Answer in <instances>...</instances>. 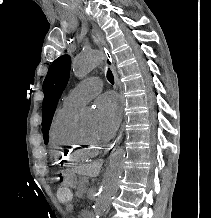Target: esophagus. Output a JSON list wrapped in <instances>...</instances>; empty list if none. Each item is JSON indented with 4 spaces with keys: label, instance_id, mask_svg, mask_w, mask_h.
<instances>
[{
    "label": "esophagus",
    "instance_id": "34e87169",
    "mask_svg": "<svg viewBox=\"0 0 211 218\" xmlns=\"http://www.w3.org/2000/svg\"><path fill=\"white\" fill-rule=\"evenodd\" d=\"M91 36L93 38V40L96 42V44L99 46V48L103 49L104 52H105V55H106V59H105V62H106V65L111 69L112 73H113V76H114V80H115V84L116 86L118 87L119 89V94H120V123H118V131L120 132H115V136H112L111 137V144H118L121 137H122V132L123 131V123H127V118H122L123 117V107H124V104H125V101H124V97H123V94H122V87L119 83V78H118V74H117V71H116V68H115V65L113 63V59H112V56L109 52V47H108V44L106 43V41L104 40V37L101 33V31L95 27L94 25L92 26V29H91ZM114 150H116V145H108L107 146V153L106 155H104V160H111V155H109V153H114Z\"/></svg>",
    "mask_w": 211,
    "mask_h": 218
}]
</instances>
